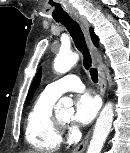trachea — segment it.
I'll return each mask as SVG.
<instances>
[{"mask_svg":"<svg viewBox=\"0 0 130 153\" xmlns=\"http://www.w3.org/2000/svg\"><path fill=\"white\" fill-rule=\"evenodd\" d=\"M56 22L63 24L69 31L76 48L83 54V63L86 70H89L91 79L94 83L98 82V72L92 67V61L90 53L86 46V41L83 32L79 24L70 16H66L60 19H56Z\"/></svg>","mask_w":130,"mask_h":153,"instance_id":"1","label":"trachea"}]
</instances>
